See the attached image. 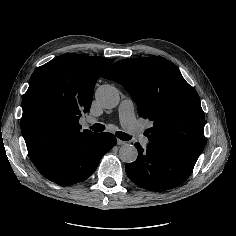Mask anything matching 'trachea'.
Here are the masks:
<instances>
[{
	"instance_id": "trachea-1",
	"label": "trachea",
	"mask_w": 236,
	"mask_h": 236,
	"mask_svg": "<svg viewBox=\"0 0 236 236\" xmlns=\"http://www.w3.org/2000/svg\"><path fill=\"white\" fill-rule=\"evenodd\" d=\"M94 132H102L104 130V126L102 124H94L93 126L90 127ZM116 136L123 140V141H129L132 139L133 136L126 134L125 132H116Z\"/></svg>"
}]
</instances>
